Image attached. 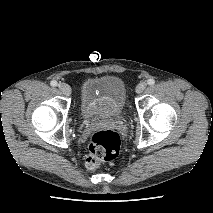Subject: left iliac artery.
Segmentation results:
<instances>
[{
  "label": "left iliac artery",
  "instance_id": "obj_1",
  "mask_svg": "<svg viewBox=\"0 0 213 213\" xmlns=\"http://www.w3.org/2000/svg\"><path fill=\"white\" fill-rule=\"evenodd\" d=\"M147 83H148V85H154L155 80L153 78H150V79H148Z\"/></svg>",
  "mask_w": 213,
  "mask_h": 213
}]
</instances>
